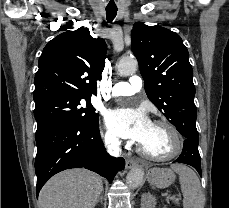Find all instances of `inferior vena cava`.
<instances>
[{"label": "inferior vena cava", "instance_id": "inferior-vena-cava-1", "mask_svg": "<svg viewBox=\"0 0 229 208\" xmlns=\"http://www.w3.org/2000/svg\"><path fill=\"white\" fill-rule=\"evenodd\" d=\"M112 154H113V156H118V152H117V154H115V152H112Z\"/></svg>", "mask_w": 229, "mask_h": 208}]
</instances>
